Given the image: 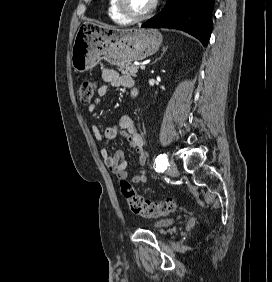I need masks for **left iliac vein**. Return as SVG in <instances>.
<instances>
[{
    "label": "left iliac vein",
    "instance_id": "obj_1",
    "mask_svg": "<svg viewBox=\"0 0 272 282\" xmlns=\"http://www.w3.org/2000/svg\"><path fill=\"white\" fill-rule=\"evenodd\" d=\"M168 172L173 177L177 176L178 173L177 166L172 159L169 161Z\"/></svg>",
    "mask_w": 272,
    "mask_h": 282
}]
</instances>
